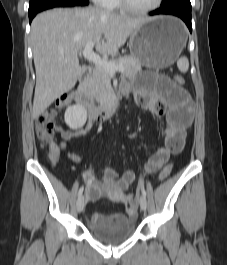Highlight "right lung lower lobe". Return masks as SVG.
I'll return each instance as SVG.
<instances>
[{
	"label": "right lung lower lobe",
	"mask_w": 227,
	"mask_h": 265,
	"mask_svg": "<svg viewBox=\"0 0 227 265\" xmlns=\"http://www.w3.org/2000/svg\"><path fill=\"white\" fill-rule=\"evenodd\" d=\"M88 4V0H51L43 4L35 11L29 12L30 23L34 16L43 11L54 7H72V6H84Z\"/></svg>",
	"instance_id": "98d812e1"
}]
</instances>
